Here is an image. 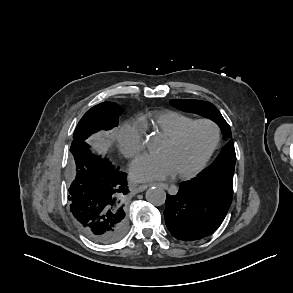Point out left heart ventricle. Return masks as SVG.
<instances>
[{"instance_id":"b2bd125f","label":"left heart ventricle","mask_w":293,"mask_h":293,"mask_svg":"<svg viewBox=\"0 0 293 293\" xmlns=\"http://www.w3.org/2000/svg\"><path fill=\"white\" fill-rule=\"evenodd\" d=\"M214 139V130L206 124L189 129L177 142L163 141L159 153L168 157L175 173L191 170L205 155Z\"/></svg>"}]
</instances>
